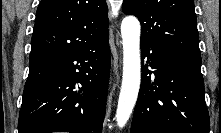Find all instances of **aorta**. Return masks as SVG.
I'll return each mask as SVG.
<instances>
[{
	"label": "aorta",
	"instance_id": "obj_1",
	"mask_svg": "<svg viewBox=\"0 0 221 133\" xmlns=\"http://www.w3.org/2000/svg\"><path fill=\"white\" fill-rule=\"evenodd\" d=\"M140 22L136 17H125L121 23L123 43V77L116 111L120 128L129 120L137 101L141 82Z\"/></svg>",
	"mask_w": 221,
	"mask_h": 133
}]
</instances>
